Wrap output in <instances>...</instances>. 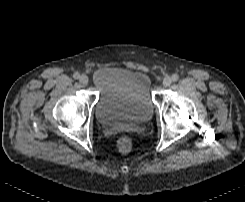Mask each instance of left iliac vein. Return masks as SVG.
<instances>
[{"label":"left iliac vein","instance_id":"1","mask_svg":"<svg viewBox=\"0 0 245 202\" xmlns=\"http://www.w3.org/2000/svg\"><path fill=\"white\" fill-rule=\"evenodd\" d=\"M171 83H172V78H171V77L166 76V77L163 79V85H164L165 87L170 86Z\"/></svg>","mask_w":245,"mask_h":202}]
</instances>
